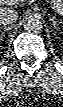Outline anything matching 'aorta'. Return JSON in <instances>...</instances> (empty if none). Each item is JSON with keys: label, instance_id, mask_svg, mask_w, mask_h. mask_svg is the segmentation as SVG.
<instances>
[{"label": "aorta", "instance_id": "762f6f07", "mask_svg": "<svg viewBox=\"0 0 63 107\" xmlns=\"http://www.w3.org/2000/svg\"><path fill=\"white\" fill-rule=\"evenodd\" d=\"M42 22L37 16H29L26 18L24 29L27 32L38 33L42 29Z\"/></svg>", "mask_w": 63, "mask_h": 107}]
</instances>
